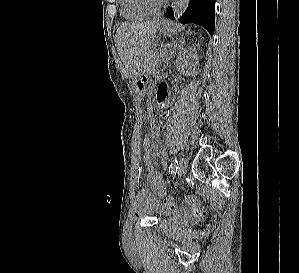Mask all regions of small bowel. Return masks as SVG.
Here are the masks:
<instances>
[{
    "label": "small bowel",
    "instance_id": "c3829d8e",
    "mask_svg": "<svg viewBox=\"0 0 299 273\" xmlns=\"http://www.w3.org/2000/svg\"><path fill=\"white\" fill-rule=\"evenodd\" d=\"M157 103L161 109L167 104V87L165 84H160L158 88ZM143 159L146 166L145 174L149 180L150 186L156 192L158 197H163L165 194V185L159 172V164L152 157L151 145L144 147ZM148 207L154 208L160 214L172 215L176 218H186L189 216L185 209L178 207L176 204L166 206L151 193L146 190H140L136 194L135 209L139 212Z\"/></svg>",
    "mask_w": 299,
    "mask_h": 273
}]
</instances>
